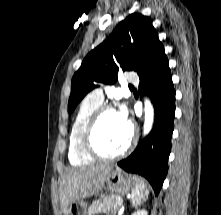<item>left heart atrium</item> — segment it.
Instances as JSON below:
<instances>
[{"label": "left heart atrium", "instance_id": "left-heart-atrium-1", "mask_svg": "<svg viewBox=\"0 0 221 215\" xmlns=\"http://www.w3.org/2000/svg\"><path fill=\"white\" fill-rule=\"evenodd\" d=\"M120 119L129 126V119H128V112L125 108V106H122L121 109L117 112Z\"/></svg>", "mask_w": 221, "mask_h": 215}]
</instances>
